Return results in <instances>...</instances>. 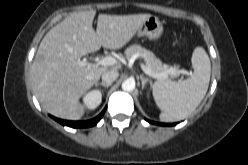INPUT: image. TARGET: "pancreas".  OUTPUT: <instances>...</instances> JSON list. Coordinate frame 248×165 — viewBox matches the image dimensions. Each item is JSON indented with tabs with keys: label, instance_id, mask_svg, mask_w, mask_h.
I'll return each mask as SVG.
<instances>
[{
	"label": "pancreas",
	"instance_id": "obj_1",
	"mask_svg": "<svg viewBox=\"0 0 248 165\" xmlns=\"http://www.w3.org/2000/svg\"><path fill=\"white\" fill-rule=\"evenodd\" d=\"M135 54H140L143 56L144 60L146 61V65L149 69H151L155 73H166V78H175L179 76L180 70L179 66H172L168 67L164 65L160 59L156 58V56L149 50L143 48L140 45L134 44L129 46L125 50V57L127 59L131 58Z\"/></svg>",
	"mask_w": 248,
	"mask_h": 165
}]
</instances>
